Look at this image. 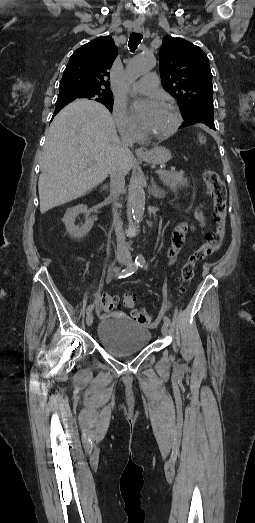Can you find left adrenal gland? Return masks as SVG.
I'll return each instance as SVG.
<instances>
[{"instance_id": "left-adrenal-gland-1", "label": "left adrenal gland", "mask_w": 255, "mask_h": 523, "mask_svg": "<svg viewBox=\"0 0 255 523\" xmlns=\"http://www.w3.org/2000/svg\"><path fill=\"white\" fill-rule=\"evenodd\" d=\"M151 194L154 196V198H165V192L164 190H161V188H158L156 182H154L153 178L151 180Z\"/></svg>"}]
</instances>
